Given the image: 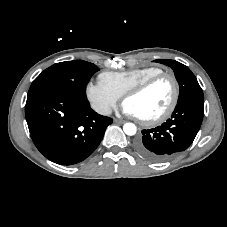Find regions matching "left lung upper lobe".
Segmentation results:
<instances>
[{"label": "left lung upper lobe", "mask_w": 227, "mask_h": 227, "mask_svg": "<svg viewBox=\"0 0 227 227\" xmlns=\"http://www.w3.org/2000/svg\"><path fill=\"white\" fill-rule=\"evenodd\" d=\"M155 62L165 64L175 72V77L180 87L177 103L190 97L204 98L203 91L196 77L187 66L175 60L160 59L155 60Z\"/></svg>", "instance_id": "left-lung-upper-lobe-1"}]
</instances>
